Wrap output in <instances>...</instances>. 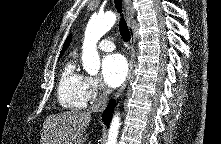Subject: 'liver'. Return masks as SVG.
<instances>
[{
	"mask_svg": "<svg viewBox=\"0 0 221 144\" xmlns=\"http://www.w3.org/2000/svg\"><path fill=\"white\" fill-rule=\"evenodd\" d=\"M91 121L90 112L66 111L46 117L41 144H84L89 134L84 135Z\"/></svg>",
	"mask_w": 221,
	"mask_h": 144,
	"instance_id": "liver-1",
	"label": "liver"
}]
</instances>
